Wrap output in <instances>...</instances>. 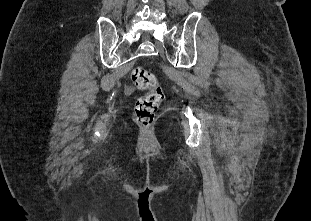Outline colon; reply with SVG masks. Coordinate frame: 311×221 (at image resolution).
Instances as JSON below:
<instances>
[{"label": "colon", "instance_id": "colon-1", "mask_svg": "<svg viewBox=\"0 0 311 221\" xmlns=\"http://www.w3.org/2000/svg\"><path fill=\"white\" fill-rule=\"evenodd\" d=\"M131 79L134 88L148 90L145 96L137 100L134 110V121L140 126L147 127L154 122L163 101V89L155 76L142 67L133 69Z\"/></svg>", "mask_w": 311, "mask_h": 221}]
</instances>
